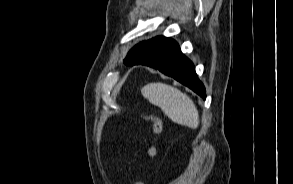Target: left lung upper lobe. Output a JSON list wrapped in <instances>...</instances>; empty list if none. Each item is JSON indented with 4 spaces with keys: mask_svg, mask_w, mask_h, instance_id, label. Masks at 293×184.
I'll use <instances>...</instances> for the list:
<instances>
[{
    "mask_svg": "<svg viewBox=\"0 0 293 184\" xmlns=\"http://www.w3.org/2000/svg\"><path fill=\"white\" fill-rule=\"evenodd\" d=\"M149 40L143 41L135 45L127 54V57L124 60V64L133 66L137 64L140 60L148 58V53L146 50V44Z\"/></svg>",
    "mask_w": 293,
    "mask_h": 184,
    "instance_id": "left-lung-upper-lobe-1",
    "label": "left lung upper lobe"
}]
</instances>
